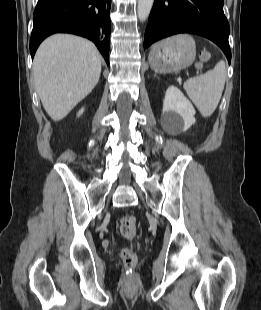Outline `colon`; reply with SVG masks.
<instances>
[{
    "instance_id": "colon-1",
    "label": "colon",
    "mask_w": 261,
    "mask_h": 310,
    "mask_svg": "<svg viewBox=\"0 0 261 310\" xmlns=\"http://www.w3.org/2000/svg\"><path fill=\"white\" fill-rule=\"evenodd\" d=\"M207 56H202V61H206ZM119 230L121 235L132 240L137 235V220L133 215H125L120 219ZM121 257L127 267H133L137 262V256L132 248H124L121 252Z\"/></svg>"
}]
</instances>
